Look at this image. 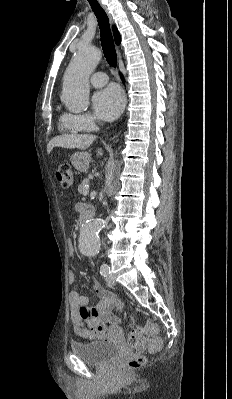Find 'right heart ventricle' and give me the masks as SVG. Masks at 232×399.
<instances>
[{"instance_id":"obj_1","label":"right heart ventricle","mask_w":232,"mask_h":399,"mask_svg":"<svg viewBox=\"0 0 232 399\" xmlns=\"http://www.w3.org/2000/svg\"><path fill=\"white\" fill-rule=\"evenodd\" d=\"M58 130L60 133L70 137L81 136L85 131H87L74 118L69 115H62L59 118Z\"/></svg>"}]
</instances>
